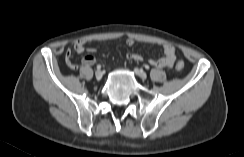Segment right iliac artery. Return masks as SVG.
I'll return each instance as SVG.
<instances>
[{
    "instance_id": "obj_1",
    "label": "right iliac artery",
    "mask_w": 244,
    "mask_h": 157,
    "mask_svg": "<svg viewBox=\"0 0 244 157\" xmlns=\"http://www.w3.org/2000/svg\"><path fill=\"white\" fill-rule=\"evenodd\" d=\"M96 69L100 70L101 69V65H97Z\"/></svg>"
}]
</instances>
